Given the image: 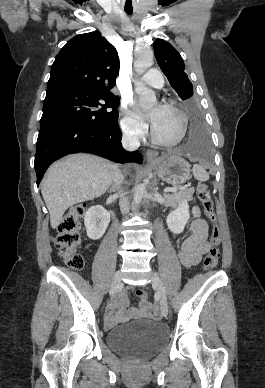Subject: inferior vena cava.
Returning <instances> with one entry per match:
<instances>
[{
    "instance_id": "602c4592",
    "label": "inferior vena cava",
    "mask_w": 265,
    "mask_h": 388,
    "mask_svg": "<svg viewBox=\"0 0 265 388\" xmlns=\"http://www.w3.org/2000/svg\"><path fill=\"white\" fill-rule=\"evenodd\" d=\"M121 144L125 150H129V152H134L140 146L139 138L137 134H124L122 136ZM124 180L123 174H121L120 170H116L113 178V186L115 188H120L122 182ZM120 210L122 214H127L128 212V200L127 198H122L119 202Z\"/></svg>"
}]
</instances>
